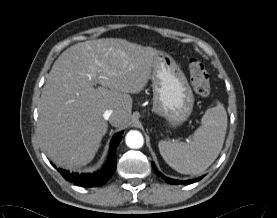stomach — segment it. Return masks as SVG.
<instances>
[{
	"mask_svg": "<svg viewBox=\"0 0 277 218\" xmlns=\"http://www.w3.org/2000/svg\"><path fill=\"white\" fill-rule=\"evenodd\" d=\"M152 111L171 127L180 126L191 115L194 95L186 76L169 55L159 52L152 74Z\"/></svg>",
	"mask_w": 277,
	"mask_h": 218,
	"instance_id": "0dacf381",
	"label": "stomach"
}]
</instances>
